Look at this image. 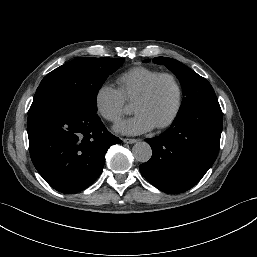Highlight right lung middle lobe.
Listing matches in <instances>:
<instances>
[{
	"mask_svg": "<svg viewBox=\"0 0 257 257\" xmlns=\"http://www.w3.org/2000/svg\"><path fill=\"white\" fill-rule=\"evenodd\" d=\"M123 62L122 58L106 57L72 60L43 78L30 108L71 107L96 114L100 87Z\"/></svg>",
	"mask_w": 257,
	"mask_h": 257,
	"instance_id": "1",
	"label": "right lung middle lobe"
}]
</instances>
